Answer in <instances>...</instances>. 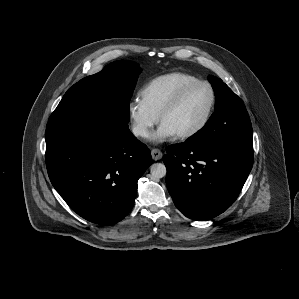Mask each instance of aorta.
I'll return each instance as SVG.
<instances>
[{"label":"aorta","mask_w":299,"mask_h":299,"mask_svg":"<svg viewBox=\"0 0 299 299\" xmlns=\"http://www.w3.org/2000/svg\"><path fill=\"white\" fill-rule=\"evenodd\" d=\"M166 172V167L162 163H154L150 167V173L156 179L163 178L166 175Z\"/></svg>","instance_id":"aorta-1"}]
</instances>
